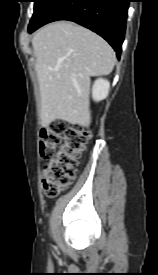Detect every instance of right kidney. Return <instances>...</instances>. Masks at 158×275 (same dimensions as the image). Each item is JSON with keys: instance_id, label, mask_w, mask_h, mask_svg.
<instances>
[{"instance_id": "ca27d5eb", "label": "right kidney", "mask_w": 158, "mask_h": 275, "mask_svg": "<svg viewBox=\"0 0 158 275\" xmlns=\"http://www.w3.org/2000/svg\"><path fill=\"white\" fill-rule=\"evenodd\" d=\"M110 83L106 79L99 78L94 82L92 96L95 101L105 99L109 93Z\"/></svg>"}]
</instances>
